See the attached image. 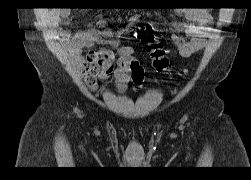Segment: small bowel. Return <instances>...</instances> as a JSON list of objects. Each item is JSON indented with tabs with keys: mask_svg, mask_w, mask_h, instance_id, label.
I'll list each match as a JSON object with an SVG mask.
<instances>
[{
	"mask_svg": "<svg viewBox=\"0 0 251 180\" xmlns=\"http://www.w3.org/2000/svg\"><path fill=\"white\" fill-rule=\"evenodd\" d=\"M179 13L184 16L186 21L173 24L177 33L172 34L171 40L179 55L188 58L206 46V34L210 29L212 17L209 11L203 8H189ZM69 15L70 10L62 8L50 11L48 18L50 24L56 27ZM138 19L139 16L134 15L130 20L134 22ZM179 32H184L187 38L179 35ZM114 35V32L102 21L99 22L98 29H87L76 33L61 31L59 33L62 45L73 56L94 45L101 47L99 51L88 53L81 68L84 81L91 89H96L98 83L109 78L111 74L115 76L116 88L119 92L124 91L130 80L136 84L143 81V69L133 59L131 48L122 46Z\"/></svg>",
	"mask_w": 251,
	"mask_h": 180,
	"instance_id": "obj_1",
	"label": "small bowel"
}]
</instances>
